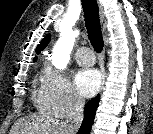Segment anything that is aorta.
<instances>
[{
	"label": "aorta",
	"instance_id": "aorta-1",
	"mask_svg": "<svg viewBox=\"0 0 153 134\" xmlns=\"http://www.w3.org/2000/svg\"><path fill=\"white\" fill-rule=\"evenodd\" d=\"M78 31L63 33L53 49L52 64L59 69L66 68Z\"/></svg>",
	"mask_w": 153,
	"mask_h": 134
}]
</instances>
